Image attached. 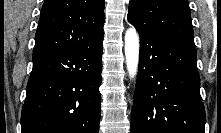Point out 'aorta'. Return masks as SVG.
<instances>
[{"mask_svg":"<svg viewBox=\"0 0 221 133\" xmlns=\"http://www.w3.org/2000/svg\"><path fill=\"white\" fill-rule=\"evenodd\" d=\"M125 57L130 78H134L139 63V37L134 28H129L125 34Z\"/></svg>","mask_w":221,"mask_h":133,"instance_id":"obj_1","label":"aorta"}]
</instances>
